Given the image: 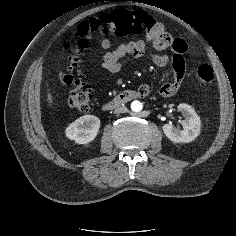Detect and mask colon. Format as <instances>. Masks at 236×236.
Listing matches in <instances>:
<instances>
[{"instance_id":"obj_1","label":"colon","mask_w":236,"mask_h":236,"mask_svg":"<svg viewBox=\"0 0 236 236\" xmlns=\"http://www.w3.org/2000/svg\"><path fill=\"white\" fill-rule=\"evenodd\" d=\"M102 32L113 33L120 37L138 36L143 32H154L169 42L172 37L156 21L144 12L117 10L110 14H103L82 22L65 39L64 49L70 52V72L64 76V83L71 87L68 104L80 111L88 110L92 99V89L78 71L74 68L79 54L87 47L91 34ZM197 78L204 87L209 86L214 79V71L209 64H202L197 68Z\"/></svg>"}]
</instances>
